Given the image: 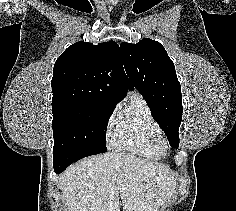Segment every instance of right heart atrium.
Segmentation results:
<instances>
[{
  "label": "right heart atrium",
  "instance_id": "right-heart-atrium-1",
  "mask_svg": "<svg viewBox=\"0 0 236 211\" xmlns=\"http://www.w3.org/2000/svg\"><path fill=\"white\" fill-rule=\"evenodd\" d=\"M114 122H115V117H114V114L112 113L108 116L106 123H105V134L107 137L111 136Z\"/></svg>",
  "mask_w": 236,
  "mask_h": 211
}]
</instances>
